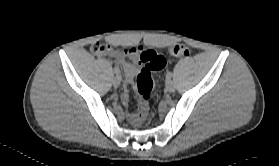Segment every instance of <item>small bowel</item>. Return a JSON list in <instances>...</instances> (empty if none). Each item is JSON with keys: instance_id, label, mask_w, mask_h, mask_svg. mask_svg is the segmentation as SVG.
Here are the masks:
<instances>
[{"instance_id": "1", "label": "small bowel", "mask_w": 279, "mask_h": 166, "mask_svg": "<svg viewBox=\"0 0 279 166\" xmlns=\"http://www.w3.org/2000/svg\"><path fill=\"white\" fill-rule=\"evenodd\" d=\"M103 46H104L103 50L98 53L100 56L109 55L116 61L123 63V68H124V72L126 75V83H125L124 92L122 94V101L124 103H127L129 100L128 87L133 83L134 76L136 75V73L138 72V69H139V65L136 61V54L139 52L141 47L130 48V49L126 50L125 52H121L109 44H103ZM125 56L130 57L131 61H124ZM165 65H166V60H165L164 67H165ZM132 119L134 121L139 120V118L137 117V114L133 115Z\"/></svg>"}]
</instances>
